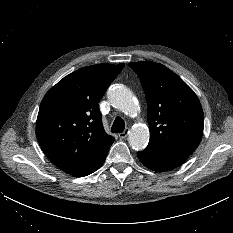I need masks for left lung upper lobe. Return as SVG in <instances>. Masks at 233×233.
<instances>
[{"label":"left lung upper lobe","instance_id":"1","mask_svg":"<svg viewBox=\"0 0 233 233\" xmlns=\"http://www.w3.org/2000/svg\"><path fill=\"white\" fill-rule=\"evenodd\" d=\"M138 75L148 105L150 140L147 147L192 154L200 143L204 116L193 90L162 64H128Z\"/></svg>","mask_w":233,"mask_h":233}]
</instances>
